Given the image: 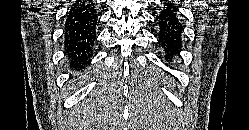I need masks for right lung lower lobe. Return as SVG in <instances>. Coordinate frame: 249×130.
Returning a JSON list of instances; mask_svg holds the SVG:
<instances>
[{
  "label": "right lung lower lobe",
  "instance_id": "1",
  "mask_svg": "<svg viewBox=\"0 0 249 130\" xmlns=\"http://www.w3.org/2000/svg\"><path fill=\"white\" fill-rule=\"evenodd\" d=\"M98 13L92 1H76L68 13L64 28V49L70 66L85 68L96 39Z\"/></svg>",
  "mask_w": 249,
  "mask_h": 130
}]
</instances>
